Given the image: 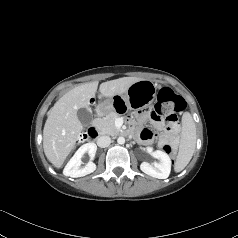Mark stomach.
<instances>
[{"label":"stomach","mask_w":238,"mask_h":238,"mask_svg":"<svg viewBox=\"0 0 238 238\" xmlns=\"http://www.w3.org/2000/svg\"><path fill=\"white\" fill-rule=\"evenodd\" d=\"M156 97V85L150 80H139L133 83L125 94H116L100 103L96 109L98 115L103 116L115 111L127 114L131 109L140 110L150 106Z\"/></svg>","instance_id":"stomach-1"}]
</instances>
